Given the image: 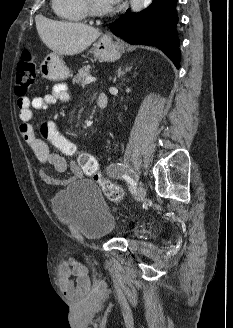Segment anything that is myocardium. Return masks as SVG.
<instances>
[{
	"mask_svg": "<svg viewBox=\"0 0 233 328\" xmlns=\"http://www.w3.org/2000/svg\"><path fill=\"white\" fill-rule=\"evenodd\" d=\"M84 5L87 13L91 16L102 17L111 13V9L98 7L93 0H84Z\"/></svg>",
	"mask_w": 233,
	"mask_h": 328,
	"instance_id": "1",
	"label": "myocardium"
}]
</instances>
